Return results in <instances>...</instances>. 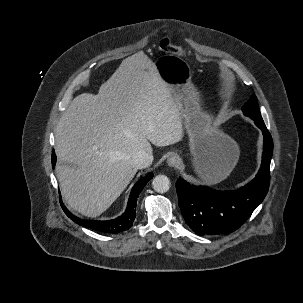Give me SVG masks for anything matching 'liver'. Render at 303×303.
<instances>
[{
    "label": "liver",
    "mask_w": 303,
    "mask_h": 303,
    "mask_svg": "<svg viewBox=\"0 0 303 303\" xmlns=\"http://www.w3.org/2000/svg\"><path fill=\"white\" fill-rule=\"evenodd\" d=\"M184 119L155 64L139 51L122 61L97 95L75 97L60 118L56 167L68 206L88 217L107 210L134 178L132 158L182 140Z\"/></svg>",
    "instance_id": "6515ba94"
}]
</instances>
